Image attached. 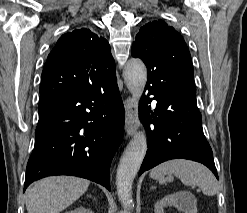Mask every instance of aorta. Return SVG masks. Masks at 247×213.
Masks as SVG:
<instances>
[{"mask_svg": "<svg viewBox=\"0 0 247 213\" xmlns=\"http://www.w3.org/2000/svg\"><path fill=\"white\" fill-rule=\"evenodd\" d=\"M124 81L132 94L139 100L147 81V69L144 63L137 58L130 59L124 69ZM147 151V139L144 131H139L126 147L118 165L116 182L117 193L122 204L132 205V184L139 171Z\"/></svg>", "mask_w": 247, "mask_h": 213, "instance_id": "762f6f07", "label": "aorta"}]
</instances>
